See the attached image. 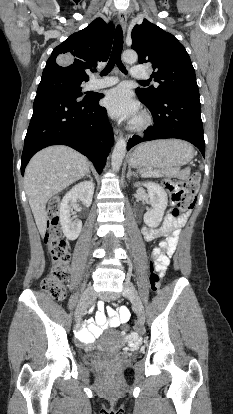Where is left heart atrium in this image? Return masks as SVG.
Here are the masks:
<instances>
[{"instance_id": "left-heart-atrium-1", "label": "left heart atrium", "mask_w": 233, "mask_h": 414, "mask_svg": "<svg viewBox=\"0 0 233 414\" xmlns=\"http://www.w3.org/2000/svg\"><path fill=\"white\" fill-rule=\"evenodd\" d=\"M103 104L111 116L121 119H135L138 105L124 87H117L107 92Z\"/></svg>"}]
</instances>
